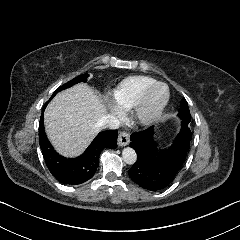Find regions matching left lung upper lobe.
<instances>
[{"label": "left lung upper lobe", "mask_w": 240, "mask_h": 240, "mask_svg": "<svg viewBox=\"0 0 240 240\" xmlns=\"http://www.w3.org/2000/svg\"><path fill=\"white\" fill-rule=\"evenodd\" d=\"M179 117L182 119L183 122H185L187 124H189V122L191 121V114L189 111V107L184 98L181 100V107L179 109Z\"/></svg>", "instance_id": "1"}]
</instances>
